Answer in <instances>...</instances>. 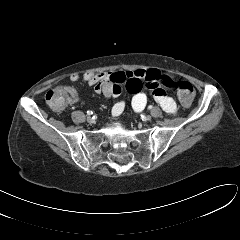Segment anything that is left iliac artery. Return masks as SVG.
Instances as JSON below:
<instances>
[{
  "mask_svg": "<svg viewBox=\"0 0 240 240\" xmlns=\"http://www.w3.org/2000/svg\"><path fill=\"white\" fill-rule=\"evenodd\" d=\"M153 107L151 105L148 106V109H152Z\"/></svg>",
  "mask_w": 240,
  "mask_h": 240,
  "instance_id": "44dca946",
  "label": "left iliac artery"
}]
</instances>
